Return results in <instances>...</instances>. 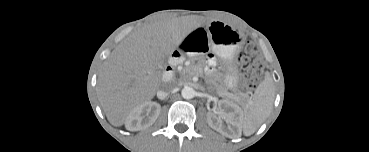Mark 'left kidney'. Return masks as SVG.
Instances as JSON below:
<instances>
[{
	"label": "left kidney",
	"instance_id": "1",
	"mask_svg": "<svg viewBox=\"0 0 369 152\" xmlns=\"http://www.w3.org/2000/svg\"><path fill=\"white\" fill-rule=\"evenodd\" d=\"M218 106L220 109V114L226 120V122L238 130L241 119H242L241 108L237 106L236 104L230 101H227V100H220L218 102ZM207 122H208V125L214 130H217L219 132L223 131L222 124L217 119L214 113L209 112L207 114Z\"/></svg>",
	"mask_w": 369,
	"mask_h": 152
}]
</instances>
